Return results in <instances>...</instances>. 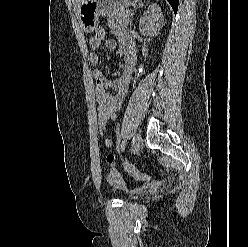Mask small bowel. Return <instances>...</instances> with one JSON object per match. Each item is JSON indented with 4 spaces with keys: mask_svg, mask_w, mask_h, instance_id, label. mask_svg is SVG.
I'll list each match as a JSON object with an SVG mask.
<instances>
[{
    "mask_svg": "<svg viewBox=\"0 0 248 247\" xmlns=\"http://www.w3.org/2000/svg\"><path fill=\"white\" fill-rule=\"evenodd\" d=\"M121 43V52L124 55V64L118 80L112 81L105 77L100 69L93 71L95 80V95L98 103L100 133L104 137V144L107 148H112V140L107 137V125L116 120V112L121 108L128 92L132 80L133 68L136 63V52L132 39L126 33L118 35ZM103 38L92 37L89 45L91 53L89 60L92 65H97L100 61L97 50L100 48ZM106 45L109 49L116 48L114 40H107ZM106 163L109 167L116 165V158L113 154L106 155Z\"/></svg>",
    "mask_w": 248,
    "mask_h": 247,
    "instance_id": "c3829d8e",
    "label": "small bowel"
}]
</instances>
